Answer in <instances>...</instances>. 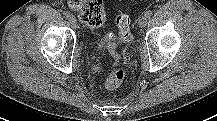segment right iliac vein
<instances>
[{"label":"right iliac vein","mask_w":217,"mask_h":121,"mask_svg":"<svg viewBox=\"0 0 217 121\" xmlns=\"http://www.w3.org/2000/svg\"><path fill=\"white\" fill-rule=\"evenodd\" d=\"M71 24H72L73 28H75V29L78 28V23H77V21H76L75 19H73V20L71 21Z\"/></svg>","instance_id":"obj_1"}]
</instances>
